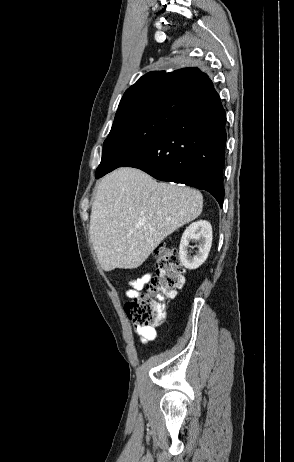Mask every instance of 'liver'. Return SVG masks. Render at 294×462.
<instances>
[{"instance_id": "1", "label": "liver", "mask_w": 294, "mask_h": 462, "mask_svg": "<svg viewBox=\"0 0 294 462\" xmlns=\"http://www.w3.org/2000/svg\"><path fill=\"white\" fill-rule=\"evenodd\" d=\"M202 208L198 190L158 183L139 169L122 167L106 175L97 187L89 230L102 269L139 267Z\"/></svg>"}]
</instances>
